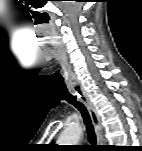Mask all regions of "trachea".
Here are the masks:
<instances>
[{"mask_svg":"<svg viewBox=\"0 0 142 151\" xmlns=\"http://www.w3.org/2000/svg\"><path fill=\"white\" fill-rule=\"evenodd\" d=\"M63 99L80 111L86 126L88 140L91 144H96V134L86 107L79 100H77V95L73 96L72 94L67 93L63 95Z\"/></svg>","mask_w":142,"mask_h":151,"instance_id":"trachea-1","label":"trachea"}]
</instances>
